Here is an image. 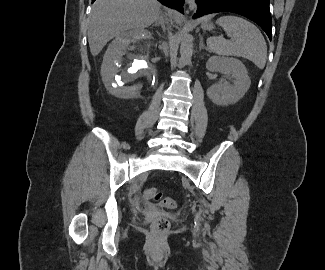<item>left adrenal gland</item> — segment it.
Wrapping results in <instances>:
<instances>
[{"instance_id":"1","label":"left adrenal gland","mask_w":325,"mask_h":270,"mask_svg":"<svg viewBox=\"0 0 325 270\" xmlns=\"http://www.w3.org/2000/svg\"><path fill=\"white\" fill-rule=\"evenodd\" d=\"M202 49H206L207 50V48L204 45L203 38L201 37L200 38V44H199V50H202Z\"/></svg>"}]
</instances>
